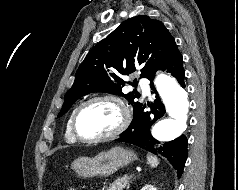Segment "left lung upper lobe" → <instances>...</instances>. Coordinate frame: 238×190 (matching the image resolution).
<instances>
[{
	"mask_svg": "<svg viewBox=\"0 0 238 190\" xmlns=\"http://www.w3.org/2000/svg\"><path fill=\"white\" fill-rule=\"evenodd\" d=\"M176 51L175 40L162 22L146 15L128 19L87 54L64 97L58 117L76 100L92 92L123 96L135 109L140 104L136 100L139 94L122 93L125 81L121 75H129L141 66V77L149 79Z\"/></svg>",
	"mask_w": 238,
	"mask_h": 190,
	"instance_id": "5c2ea615",
	"label": "left lung upper lobe"
}]
</instances>
